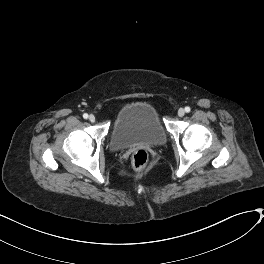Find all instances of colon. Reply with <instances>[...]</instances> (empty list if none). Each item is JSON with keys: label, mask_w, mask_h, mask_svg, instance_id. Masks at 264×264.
<instances>
[{"label": "colon", "mask_w": 264, "mask_h": 264, "mask_svg": "<svg viewBox=\"0 0 264 264\" xmlns=\"http://www.w3.org/2000/svg\"><path fill=\"white\" fill-rule=\"evenodd\" d=\"M148 162V153L145 149H138L132 156V164L136 170L145 168Z\"/></svg>", "instance_id": "1"}]
</instances>
